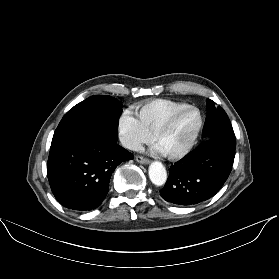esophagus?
<instances>
[{"label":"esophagus","mask_w":279,"mask_h":279,"mask_svg":"<svg viewBox=\"0 0 279 279\" xmlns=\"http://www.w3.org/2000/svg\"><path fill=\"white\" fill-rule=\"evenodd\" d=\"M135 159H136L137 162H139L141 164H144V165L149 163V160L147 158L142 157V156H136Z\"/></svg>","instance_id":"1"}]
</instances>
